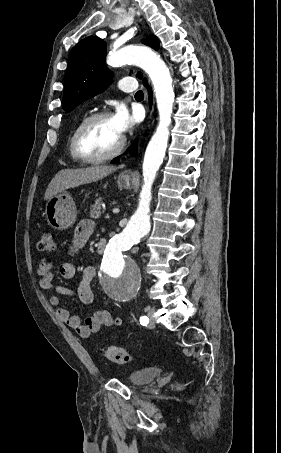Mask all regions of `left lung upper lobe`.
Returning <instances> with one entry per match:
<instances>
[{
    "label": "left lung upper lobe",
    "mask_w": 281,
    "mask_h": 453,
    "mask_svg": "<svg viewBox=\"0 0 281 453\" xmlns=\"http://www.w3.org/2000/svg\"><path fill=\"white\" fill-rule=\"evenodd\" d=\"M145 45L158 50L159 41L151 35L143 40ZM106 45L96 37L89 36L79 41L70 51L65 73L63 109L65 112L102 92L112 81L105 66ZM138 78L142 73L138 72Z\"/></svg>",
    "instance_id": "left-lung-upper-lobe-1"
}]
</instances>
